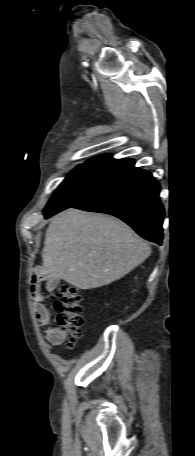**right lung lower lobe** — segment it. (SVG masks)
<instances>
[{"mask_svg":"<svg viewBox=\"0 0 195 456\" xmlns=\"http://www.w3.org/2000/svg\"><path fill=\"white\" fill-rule=\"evenodd\" d=\"M159 191L160 185L150 172L132 166L73 208L116 216L143 238L161 245L164 208Z\"/></svg>","mask_w":195,"mask_h":456,"instance_id":"obj_1","label":"right lung lower lobe"}]
</instances>
